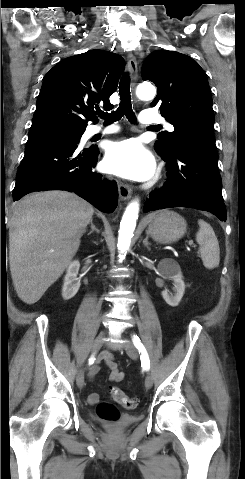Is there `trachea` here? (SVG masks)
Listing matches in <instances>:
<instances>
[{"instance_id": "trachea-1", "label": "trachea", "mask_w": 245, "mask_h": 479, "mask_svg": "<svg viewBox=\"0 0 245 479\" xmlns=\"http://www.w3.org/2000/svg\"><path fill=\"white\" fill-rule=\"evenodd\" d=\"M119 95H120V105L115 112H111V114L104 113L102 111H98L97 114L100 118L105 120V124H111L116 122L122 118V116H126L127 119L132 122L136 123V117L132 110V103H131V94H130V79L127 74H124L120 80L119 84ZM153 129L158 127H152Z\"/></svg>"}]
</instances>
